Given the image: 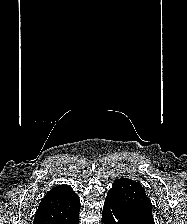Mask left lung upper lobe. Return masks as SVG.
I'll use <instances>...</instances> for the list:
<instances>
[{
    "mask_svg": "<svg viewBox=\"0 0 187 224\" xmlns=\"http://www.w3.org/2000/svg\"><path fill=\"white\" fill-rule=\"evenodd\" d=\"M126 212L133 218L155 224L152 215V204L140 183L128 178H120L109 190Z\"/></svg>",
    "mask_w": 187,
    "mask_h": 224,
    "instance_id": "1",
    "label": "left lung upper lobe"
}]
</instances>
